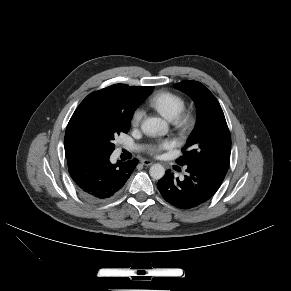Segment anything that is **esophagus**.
<instances>
[{
  "instance_id": "esophagus-1",
  "label": "esophagus",
  "mask_w": 291,
  "mask_h": 291,
  "mask_svg": "<svg viewBox=\"0 0 291 291\" xmlns=\"http://www.w3.org/2000/svg\"><path fill=\"white\" fill-rule=\"evenodd\" d=\"M141 163H142L143 165H145V166H150V165L153 164V162H152L151 160H148V159H143V160L141 161Z\"/></svg>"
}]
</instances>
